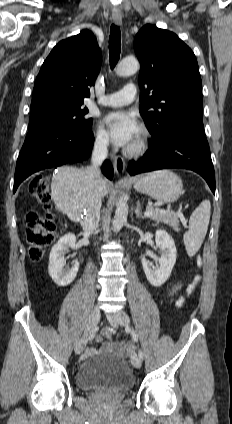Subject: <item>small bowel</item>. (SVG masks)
I'll use <instances>...</instances> for the list:
<instances>
[{"label": "small bowel", "instance_id": "small-bowel-1", "mask_svg": "<svg viewBox=\"0 0 232 424\" xmlns=\"http://www.w3.org/2000/svg\"><path fill=\"white\" fill-rule=\"evenodd\" d=\"M111 334H112V331L110 329L103 330L100 336L96 340V342L99 344V347L88 348L84 354V357L89 358L97 354L117 353L120 355H128L129 353H131L132 346H130L127 352H122L117 347L118 342L112 341Z\"/></svg>", "mask_w": 232, "mask_h": 424}]
</instances>
